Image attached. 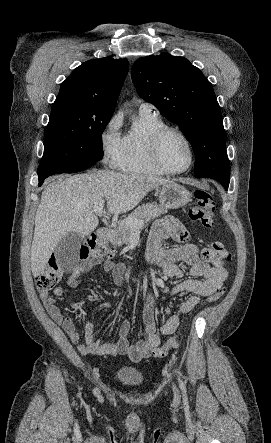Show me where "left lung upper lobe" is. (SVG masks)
<instances>
[{
	"instance_id": "left-lung-upper-lobe-1",
	"label": "left lung upper lobe",
	"mask_w": 271,
	"mask_h": 443,
	"mask_svg": "<svg viewBox=\"0 0 271 443\" xmlns=\"http://www.w3.org/2000/svg\"><path fill=\"white\" fill-rule=\"evenodd\" d=\"M131 76L139 96L181 127L195 153L194 176L215 179L227 190L230 168L223 118L203 73L186 58L165 53L137 60Z\"/></svg>"
}]
</instances>
